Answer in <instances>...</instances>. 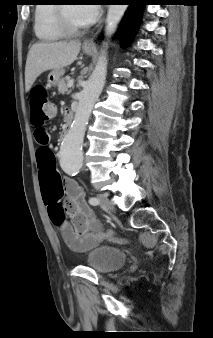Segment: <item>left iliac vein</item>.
<instances>
[{"label":"left iliac vein","mask_w":213,"mask_h":338,"mask_svg":"<svg viewBox=\"0 0 213 338\" xmlns=\"http://www.w3.org/2000/svg\"><path fill=\"white\" fill-rule=\"evenodd\" d=\"M98 199L100 202V207L106 211H114V206L112 204V202L110 201V199L104 195V194H99L98 195Z\"/></svg>","instance_id":"left-iliac-vein-1"}]
</instances>
